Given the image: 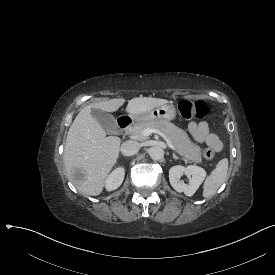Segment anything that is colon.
Returning a JSON list of instances; mask_svg holds the SVG:
<instances>
[{
    "label": "colon",
    "mask_w": 275,
    "mask_h": 275,
    "mask_svg": "<svg viewBox=\"0 0 275 275\" xmlns=\"http://www.w3.org/2000/svg\"><path fill=\"white\" fill-rule=\"evenodd\" d=\"M179 113L185 119L197 121H210L217 116V113H212L209 105L202 100H182L179 103ZM202 155L205 159L211 160L214 158L215 152L212 148H206L203 150Z\"/></svg>",
    "instance_id": "1"
}]
</instances>
